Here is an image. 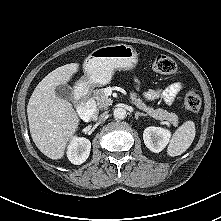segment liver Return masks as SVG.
Returning a JSON list of instances; mask_svg holds the SVG:
<instances>
[{"label": "liver", "mask_w": 221, "mask_h": 221, "mask_svg": "<svg viewBox=\"0 0 221 221\" xmlns=\"http://www.w3.org/2000/svg\"><path fill=\"white\" fill-rule=\"evenodd\" d=\"M78 68V63H70L50 72L36 86L27 105L33 142L45 156L53 160L64 156L67 144L80 122L72 104L57 97L55 89L70 81Z\"/></svg>", "instance_id": "liver-1"}]
</instances>
